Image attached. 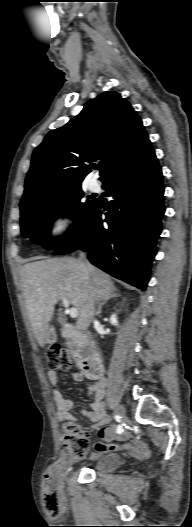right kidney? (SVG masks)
I'll use <instances>...</instances> for the list:
<instances>
[{
    "mask_svg": "<svg viewBox=\"0 0 192 527\" xmlns=\"http://www.w3.org/2000/svg\"><path fill=\"white\" fill-rule=\"evenodd\" d=\"M110 323L114 326H117L118 325V321H117V317H116V314H113L111 317H110Z\"/></svg>",
    "mask_w": 192,
    "mask_h": 527,
    "instance_id": "obj_1",
    "label": "right kidney"
}]
</instances>
